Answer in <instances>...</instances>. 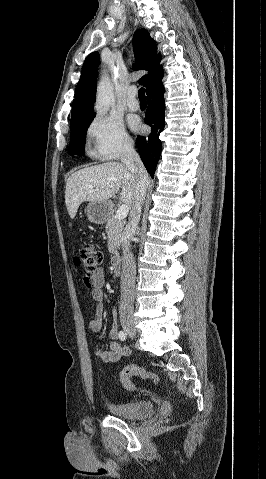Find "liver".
Here are the masks:
<instances>
[{
    "label": "liver",
    "instance_id": "obj_1",
    "mask_svg": "<svg viewBox=\"0 0 266 479\" xmlns=\"http://www.w3.org/2000/svg\"><path fill=\"white\" fill-rule=\"evenodd\" d=\"M122 188L120 200L132 209L137 198L136 181L128 167L118 162H107L74 172L67 180L65 203L71 219L80 204L107 202Z\"/></svg>",
    "mask_w": 266,
    "mask_h": 479
}]
</instances>
